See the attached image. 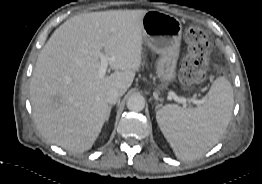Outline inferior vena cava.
Masks as SVG:
<instances>
[{"label": "inferior vena cava", "instance_id": "inferior-vena-cava-1", "mask_svg": "<svg viewBox=\"0 0 262 184\" xmlns=\"http://www.w3.org/2000/svg\"><path fill=\"white\" fill-rule=\"evenodd\" d=\"M120 97L121 94L115 89L110 90L106 93V101L109 104H116Z\"/></svg>", "mask_w": 262, "mask_h": 184}]
</instances>
